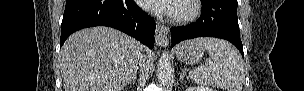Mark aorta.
<instances>
[{
  "instance_id": "obj_1",
  "label": "aorta",
  "mask_w": 304,
  "mask_h": 91,
  "mask_svg": "<svg viewBox=\"0 0 304 91\" xmlns=\"http://www.w3.org/2000/svg\"><path fill=\"white\" fill-rule=\"evenodd\" d=\"M172 76L171 59L167 52H164L158 62L157 77L161 85H167Z\"/></svg>"
}]
</instances>
